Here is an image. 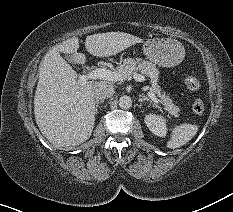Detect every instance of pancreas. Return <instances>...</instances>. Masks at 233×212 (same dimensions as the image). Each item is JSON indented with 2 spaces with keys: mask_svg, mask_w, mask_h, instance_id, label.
<instances>
[{
  "mask_svg": "<svg viewBox=\"0 0 233 212\" xmlns=\"http://www.w3.org/2000/svg\"><path fill=\"white\" fill-rule=\"evenodd\" d=\"M138 71L142 75L151 78L152 84L150 91L160 98V103L164 106V109L168 111L170 115L178 117L180 113L179 107L173 103L169 96L161 91L160 86L157 84L159 71L153 63L141 59L135 60L133 58H126L123 64L117 67V72L120 73L124 79L133 77Z\"/></svg>",
  "mask_w": 233,
  "mask_h": 212,
  "instance_id": "obj_1",
  "label": "pancreas"
}]
</instances>
